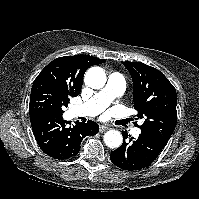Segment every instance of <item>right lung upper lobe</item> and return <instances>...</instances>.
Here are the masks:
<instances>
[{"instance_id": "cb5924a9", "label": "right lung upper lobe", "mask_w": 199, "mask_h": 199, "mask_svg": "<svg viewBox=\"0 0 199 199\" xmlns=\"http://www.w3.org/2000/svg\"><path fill=\"white\" fill-rule=\"evenodd\" d=\"M105 60L89 55L64 56L49 63L34 80L32 88L49 87L67 98L80 94L83 76L87 68Z\"/></svg>"}]
</instances>
